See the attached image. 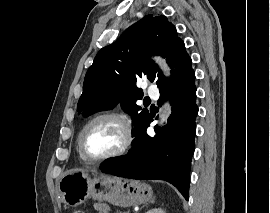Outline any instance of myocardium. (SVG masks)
<instances>
[{
	"instance_id": "1",
	"label": "myocardium",
	"mask_w": 270,
	"mask_h": 213,
	"mask_svg": "<svg viewBox=\"0 0 270 213\" xmlns=\"http://www.w3.org/2000/svg\"><path fill=\"white\" fill-rule=\"evenodd\" d=\"M102 119H112V120L119 122L123 126L124 134H125L124 142L119 149H117L116 151H114L112 153H109V154L104 155L102 157H93V156L89 155L85 149L84 138H85V134H86L87 130L90 128V126L92 124H94L95 122L102 120ZM132 139H133V135H132L131 124L124 115H122L120 113H116V112H103V113H99V114L93 116L83 126V128L79 134V140H78L79 150H80L81 155L84 157V159L86 161H89L92 163H101V162L115 159V158H118V157L124 155L128 151V149L130 148V145L132 143Z\"/></svg>"
}]
</instances>
